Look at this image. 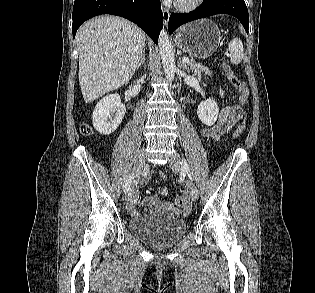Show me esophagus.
I'll list each match as a JSON object with an SVG mask.
<instances>
[{
	"label": "esophagus",
	"instance_id": "1",
	"mask_svg": "<svg viewBox=\"0 0 315 293\" xmlns=\"http://www.w3.org/2000/svg\"><path fill=\"white\" fill-rule=\"evenodd\" d=\"M162 13H163V19H164V24L167 26L170 18V11L163 7L162 8Z\"/></svg>",
	"mask_w": 315,
	"mask_h": 293
}]
</instances>
